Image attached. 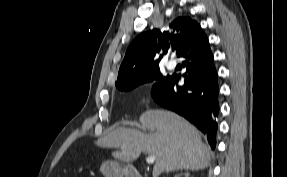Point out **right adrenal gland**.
I'll return each mask as SVG.
<instances>
[{"label": "right adrenal gland", "mask_w": 287, "mask_h": 177, "mask_svg": "<svg viewBox=\"0 0 287 177\" xmlns=\"http://www.w3.org/2000/svg\"><path fill=\"white\" fill-rule=\"evenodd\" d=\"M179 176H180V175H175V177H179ZM184 176H185V177H189V173H188V172H185V173H184Z\"/></svg>", "instance_id": "2a0ac1e0"}]
</instances>
